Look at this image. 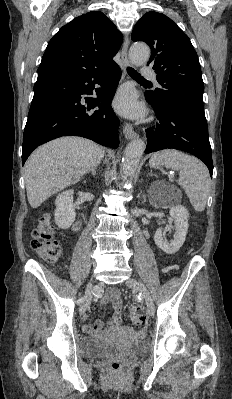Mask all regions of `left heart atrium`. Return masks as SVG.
Masks as SVG:
<instances>
[{"mask_svg": "<svg viewBox=\"0 0 232 399\" xmlns=\"http://www.w3.org/2000/svg\"><path fill=\"white\" fill-rule=\"evenodd\" d=\"M115 110L128 118H137L143 115L144 108L136 101L135 93L131 90H122L115 101Z\"/></svg>", "mask_w": 232, "mask_h": 399, "instance_id": "1", "label": "left heart atrium"}]
</instances>
